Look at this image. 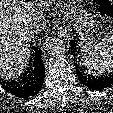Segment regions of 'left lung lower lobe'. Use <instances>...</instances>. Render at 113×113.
I'll use <instances>...</instances> for the list:
<instances>
[{"instance_id":"left-lung-lower-lobe-1","label":"left lung lower lobe","mask_w":113,"mask_h":113,"mask_svg":"<svg viewBox=\"0 0 113 113\" xmlns=\"http://www.w3.org/2000/svg\"><path fill=\"white\" fill-rule=\"evenodd\" d=\"M77 41L74 39L70 42L71 48L74 50L76 48ZM76 74L80 80V82L87 86L89 89L92 90H101L107 88L113 84V73H110L109 76L104 77H94L90 76L87 73H84L82 68L75 64Z\"/></svg>"}]
</instances>
